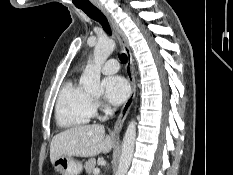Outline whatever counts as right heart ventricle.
Here are the masks:
<instances>
[{"label":"right heart ventricle","mask_w":233,"mask_h":175,"mask_svg":"<svg viewBox=\"0 0 233 175\" xmlns=\"http://www.w3.org/2000/svg\"><path fill=\"white\" fill-rule=\"evenodd\" d=\"M95 115L93 98L75 80L67 81L59 91L55 119L61 128L74 129L87 125Z\"/></svg>","instance_id":"e07e8e85"}]
</instances>
